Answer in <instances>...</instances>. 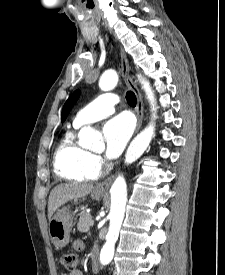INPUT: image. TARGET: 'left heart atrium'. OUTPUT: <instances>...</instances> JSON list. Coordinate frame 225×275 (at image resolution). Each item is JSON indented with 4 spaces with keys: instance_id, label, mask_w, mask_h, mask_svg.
Here are the masks:
<instances>
[{
    "instance_id": "39dd6f15",
    "label": "left heart atrium",
    "mask_w": 225,
    "mask_h": 275,
    "mask_svg": "<svg viewBox=\"0 0 225 275\" xmlns=\"http://www.w3.org/2000/svg\"><path fill=\"white\" fill-rule=\"evenodd\" d=\"M134 125L132 119L125 114L118 115L107 121L103 127L106 142V156L117 158L130 139Z\"/></svg>"
}]
</instances>
